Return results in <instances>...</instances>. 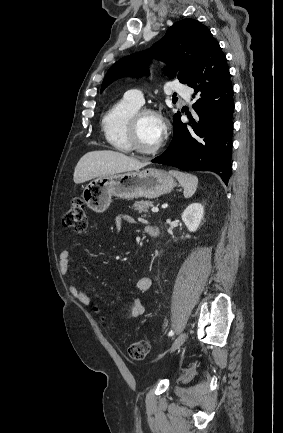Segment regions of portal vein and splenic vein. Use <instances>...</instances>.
I'll return each mask as SVG.
<instances>
[{
	"label": "portal vein and splenic vein",
	"instance_id": "portal-vein-and-splenic-vein-1",
	"mask_svg": "<svg viewBox=\"0 0 283 433\" xmlns=\"http://www.w3.org/2000/svg\"><path fill=\"white\" fill-rule=\"evenodd\" d=\"M152 212H158L159 208H157V206H153V208H151Z\"/></svg>",
	"mask_w": 283,
	"mask_h": 433
}]
</instances>
